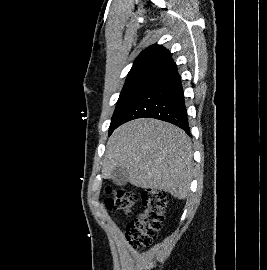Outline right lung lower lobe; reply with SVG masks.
Instances as JSON below:
<instances>
[{
	"instance_id": "obj_1",
	"label": "right lung lower lobe",
	"mask_w": 267,
	"mask_h": 270,
	"mask_svg": "<svg viewBox=\"0 0 267 270\" xmlns=\"http://www.w3.org/2000/svg\"><path fill=\"white\" fill-rule=\"evenodd\" d=\"M137 118L166 121L190 134L181 78L173 62L155 75L149 87L128 111L123 123Z\"/></svg>"
}]
</instances>
